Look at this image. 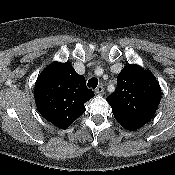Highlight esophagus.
<instances>
[{"instance_id": "obj_1", "label": "esophagus", "mask_w": 175, "mask_h": 175, "mask_svg": "<svg viewBox=\"0 0 175 175\" xmlns=\"http://www.w3.org/2000/svg\"><path fill=\"white\" fill-rule=\"evenodd\" d=\"M95 93L98 94V95H102L104 93V87L102 85L98 86L95 89Z\"/></svg>"}]
</instances>
